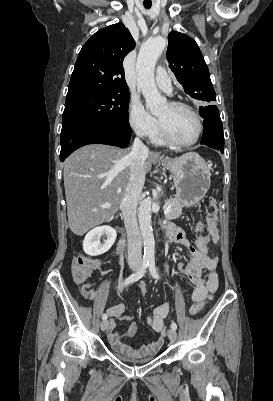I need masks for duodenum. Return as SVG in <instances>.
Returning <instances> with one entry per match:
<instances>
[{
    "mask_svg": "<svg viewBox=\"0 0 273 401\" xmlns=\"http://www.w3.org/2000/svg\"><path fill=\"white\" fill-rule=\"evenodd\" d=\"M118 250L121 252L123 250V243H120L118 246Z\"/></svg>",
    "mask_w": 273,
    "mask_h": 401,
    "instance_id": "1",
    "label": "duodenum"
}]
</instances>
